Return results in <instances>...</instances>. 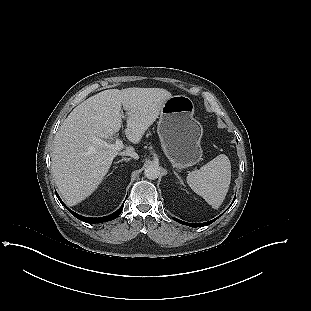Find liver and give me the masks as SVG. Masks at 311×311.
<instances>
[{
  "instance_id": "liver-1",
  "label": "liver",
  "mask_w": 311,
  "mask_h": 311,
  "mask_svg": "<svg viewBox=\"0 0 311 311\" xmlns=\"http://www.w3.org/2000/svg\"><path fill=\"white\" fill-rule=\"evenodd\" d=\"M166 89L125 88L102 91L75 107L54 140L51 171L59 192L69 205L90 196L122 152L104 147L122 126L121 107L127 114V139L138 144L155 122L165 101ZM134 151L127 146L123 152Z\"/></svg>"
}]
</instances>
